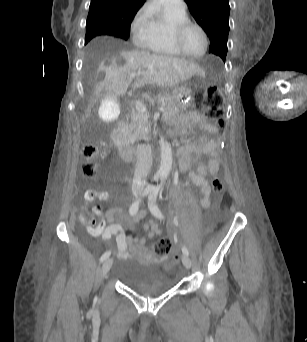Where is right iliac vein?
Instances as JSON below:
<instances>
[{
	"label": "right iliac vein",
	"instance_id": "1",
	"mask_svg": "<svg viewBox=\"0 0 307 342\" xmlns=\"http://www.w3.org/2000/svg\"><path fill=\"white\" fill-rule=\"evenodd\" d=\"M113 263V259L112 258H108L102 265V268H101V276L104 277L107 275V273L109 272L110 270V267Z\"/></svg>",
	"mask_w": 307,
	"mask_h": 342
}]
</instances>
